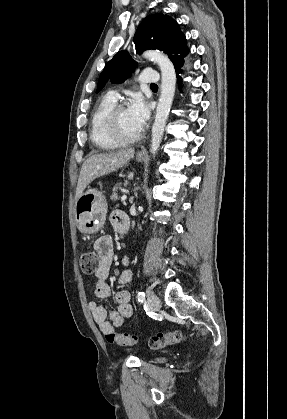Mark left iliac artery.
Instances as JSON below:
<instances>
[{"label":"left iliac artery","mask_w":287,"mask_h":419,"mask_svg":"<svg viewBox=\"0 0 287 419\" xmlns=\"http://www.w3.org/2000/svg\"><path fill=\"white\" fill-rule=\"evenodd\" d=\"M137 299H138V302L144 303L145 302V293L142 292V291H139L138 294H137Z\"/></svg>","instance_id":"obj_1"}]
</instances>
